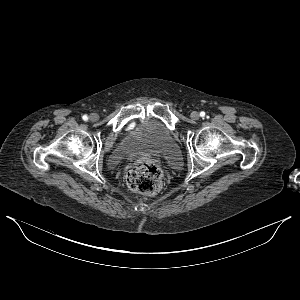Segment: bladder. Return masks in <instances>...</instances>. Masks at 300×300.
Segmentation results:
<instances>
[{"label": "bladder", "mask_w": 300, "mask_h": 300, "mask_svg": "<svg viewBox=\"0 0 300 300\" xmlns=\"http://www.w3.org/2000/svg\"><path fill=\"white\" fill-rule=\"evenodd\" d=\"M124 148L131 153L146 155L163 154L168 156L173 163H176L181 156L173 134L160 122H154L140 131H134L129 134ZM111 159L114 165H117V160L113 157Z\"/></svg>", "instance_id": "31cf9c89"}]
</instances>
